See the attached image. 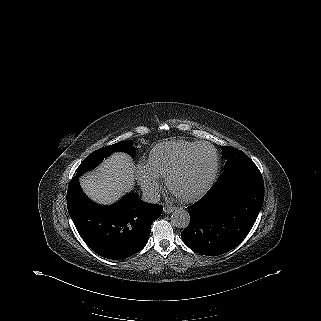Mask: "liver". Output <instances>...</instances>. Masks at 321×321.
<instances>
[{
	"label": "liver",
	"instance_id": "1",
	"mask_svg": "<svg viewBox=\"0 0 321 321\" xmlns=\"http://www.w3.org/2000/svg\"><path fill=\"white\" fill-rule=\"evenodd\" d=\"M80 184L95 202L103 205L114 203L133 188V162L124 153H114L97 170L81 177Z\"/></svg>",
	"mask_w": 321,
	"mask_h": 321
}]
</instances>
